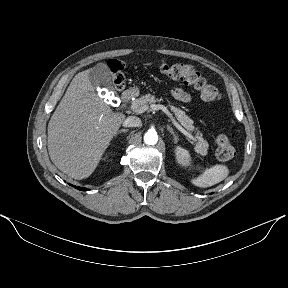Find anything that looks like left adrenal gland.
I'll use <instances>...</instances> for the list:
<instances>
[{"mask_svg": "<svg viewBox=\"0 0 288 288\" xmlns=\"http://www.w3.org/2000/svg\"><path fill=\"white\" fill-rule=\"evenodd\" d=\"M167 130L173 135V140L175 143L178 142V136L175 133V131L172 129V127H170L169 125H167Z\"/></svg>", "mask_w": 288, "mask_h": 288, "instance_id": "1", "label": "left adrenal gland"}]
</instances>
